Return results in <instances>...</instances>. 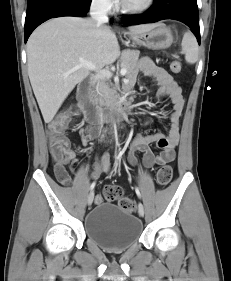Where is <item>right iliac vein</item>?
Returning <instances> with one entry per match:
<instances>
[{"label":"right iliac vein","instance_id":"obj_1","mask_svg":"<svg viewBox=\"0 0 231 281\" xmlns=\"http://www.w3.org/2000/svg\"><path fill=\"white\" fill-rule=\"evenodd\" d=\"M93 199H94V192L91 191V192L88 194V197H87V204H88V205H91L92 202H93Z\"/></svg>","mask_w":231,"mask_h":281}]
</instances>
